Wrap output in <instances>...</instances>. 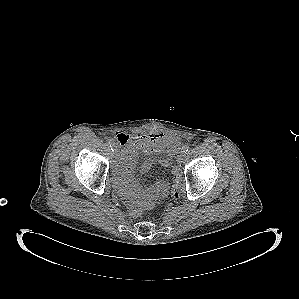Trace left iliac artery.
<instances>
[{"mask_svg": "<svg viewBox=\"0 0 299 299\" xmlns=\"http://www.w3.org/2000/svg\"><path fill=\"white\" fill-rule=\"evenodd\" d=\"M189 150V146L185 145L182 147V152L186 153Z\"/></svg>", "mask_w": 299, "mask_h": 299, "instance_id": "left-iliac-artery-1", "label": "left iliac artery"}]
</instances>
